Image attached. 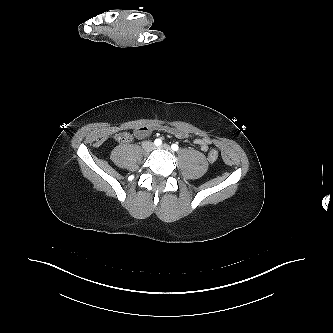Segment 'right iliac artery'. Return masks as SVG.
Returning <instances> with one entry per match:
<instances>
[{"instance_id": "right-iliac-artery-1", "label": "right iliac artery", "mask_w": 333, "mask_h": 333, "mask_svg": "<svg viewBox=\"0 0 333 333\" xmlns=\"http://www.w3.org/2000/svg\"><path fill=\"white\" fill-rule=\"evenodd\" d=\"M154 144L156 145V146H160L161 144H162V140L161 139H155V141H154Z\"/></svg>"}]
</instances>
